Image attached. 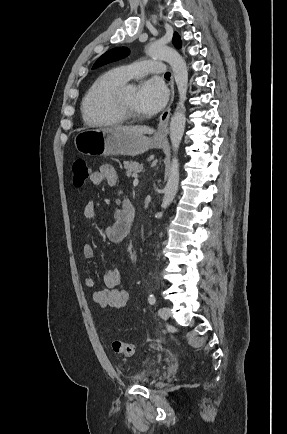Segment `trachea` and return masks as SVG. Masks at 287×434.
<instances>
[{"instance_id":"3493384b","label":"trachea","mask_w":287,"mask_h":434,"mask_svg":"<svg viewBox=\"0 0 287 434\" xmlns=\"http://www.w3.org/2000/svg\"><path fill=\"white\" fill-rule=\"evenodd\" d=\"M170 76H171V74H170L169 72H167V73L165 74V77H166V78H170Z\"/></svg>"}]
</instances>
